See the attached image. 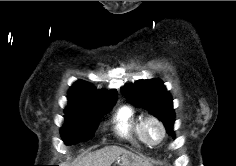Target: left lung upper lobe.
Listing matches in <instances>:
<instances>
[{
  "mask_svg": "<svg viewBox=\"0 0 236 166\" xmlns=\"http://www.w3.org/2000/svg\"><path fill=\"white\" fill-rule=\"evenodd\" d=\"M124 96L137 106L146 108L163 122L167 132L173 131L175 114L172 98L159 79L139 80L121 88Z\"/></svg>",
  "mask_w": 236,
  "mask_h": 166,
  "instance_id": "5c2ea615",
  "label": "left lung upper lobe"
}]
</instances>
